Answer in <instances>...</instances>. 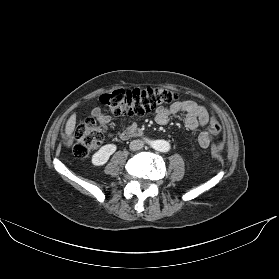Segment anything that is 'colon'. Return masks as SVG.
I'll return each instance as SVG.
<instances>
[{
    "mask_svg": "<svg viewBox=\"0 0 279 279\" xmlns=\"http://www.w3.org/2000/svg\"><path fill=\"white\" fill-rule=\"evenodd\" d=\"M177 98L174 91L165 88L118 89L103 94L100 101L114 117H141L158 106L174 102ZM220 129L219 121L213 117L207 131L216 135ZM106 133V126L98 124L94 118L83 120L74 133V155L85 158L91 151L99 149L104 144Z\"/></svg>",
    "mask_w": 279,
    "mask_h": 279,
    "instance_id": "colon-1",
    "label": "colon"
}]
</instances>
